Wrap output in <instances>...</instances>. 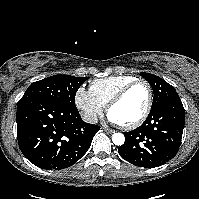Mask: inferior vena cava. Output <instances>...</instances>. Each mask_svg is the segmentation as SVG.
Returning a JSON list of instances; mask_svg holds the SVG:
<instances>
[{"label": "inferior vena cava", "mask_w": 199, "mask_h": 199, "mask_svg": "<svg viewBox=\"0 0 199 199\" xmlns=\"http://www.w3.org/2000/svg\"><path fill=\"white\" fill-rule=\"evenodd\" d=\"M82 119L86 123L95 124L98 122L97 115L93 112H85L82 114Z\"/></svg>", "instance_id": "1"}]
</instances>
